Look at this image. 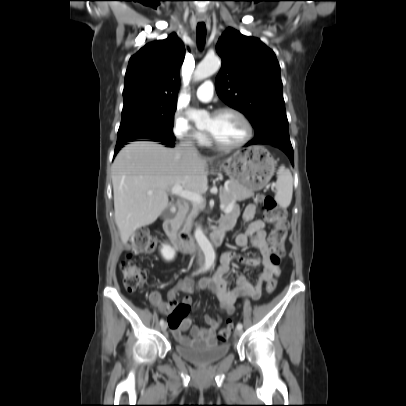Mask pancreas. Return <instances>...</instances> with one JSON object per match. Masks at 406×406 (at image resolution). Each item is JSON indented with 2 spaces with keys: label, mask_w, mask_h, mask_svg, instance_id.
Returning <instances> with one entry per match:
<instances>
[{
  "label": "pancreas",
  "mask_w": 406,
  "mask_h": 406,
  "mask_svg": "<svg viewBox=\"0 0 406 406\" xmlns=\"http://www.w3.org/2000/svg\"><path fill=\"white\" fill-rule=\"evenodd\" d=\"M254 196V192L247 190L242 186L236 183H229L227 187L220 189V202L225 207L229 206L232 202L243 201L250 197ZM202 209V206L194 203L192 207H185L180 211V219L184 228H190L193 222V219L198 215L199 211Z\"/></svg>",
  "instance_id": "pancreas-1"
}]
</instances>
